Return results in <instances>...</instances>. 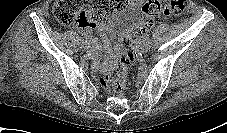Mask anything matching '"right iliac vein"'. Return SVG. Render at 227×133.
Returning <instances> with one entry per match:
<instances>
[{
  "mask_svg": "<svg viewBox=\"0 0 227 133\" xmlns=\"http://www.w3.org/2000/svg\"><path fill=\"white\" fill-rule=\"evenodd\" d=\"M81 48L84 49V50H87V49L90 48V45H89L88 42L85 41V42L81 45Z\"/></svg>",
  "mask_w": 227,
  "mask_h": 133,
  "instance_id": "63e3f726",
  "label": "right iliac vein"
}]
</instances>
